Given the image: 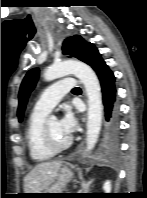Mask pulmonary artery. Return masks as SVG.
I'll return each instance as SVG.
<instances>
[{"label": "pulmonary artery", "instance_id": "1", "mask_svg": "<svg viewBox=\"0 0 147 198\" xmlns=\"http://www.w3.org/2000/svg\"><path fill=\"white\" fill-rule=\"evenodd\" d=\"M75 85L73 78H65L49 86L36 101L34 110L49 113Z\"/></svg>", "mask_w": 147, "mask_h": 198}]
</instances>
